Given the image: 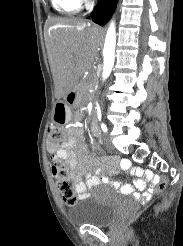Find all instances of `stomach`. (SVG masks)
I'll return each mask as SVG.
<instances>
[{"label": "stomach", "mask_w": 183, "mask_h": 246, "mask_svg": "<svg viewBox=\"0 0 183 246\" xmlns=\"http://www.w3.org/2000/svg\"><path fill=\"white\" fill-rule=\"evenodd\" d=\"M54 116H56L57 119L62 116L63 121H61V123H67L70 120V112L66 108L56 109Z\"/></svg>", "instance_id": "obj_1"}]
</instances>
